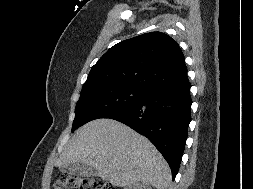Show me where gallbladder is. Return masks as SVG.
<instances>
[{
  "label": "gallbladder",
  "instance_id": "1",
  "mask_svg": "<svg viewBox=\"0 0 253 189\" xmlns=\"http://www.w3.org/2000/svg\"><path fill=\"white\" fill-rule=\"evenodd\" d=\"M60 171L69 175H78L82 177L96 176V170L85 163H68L60 167Z\"/></svg>",
  "mask_w": 253,
  "mask_h": 189
}]
</instances>
